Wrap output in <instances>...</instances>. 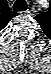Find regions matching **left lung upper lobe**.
Wrapping results in <instances>:
<instances>
[{
    "instance_id": "left-lung-upper-lobe-1",
    "label": "left lung upper lobe",
    "mask_w": 51,
    "mask_h": 74,
    "mask_svg": "<svg viewBox=\"0 0 51 74\" xmlns=\"http://www.w3.org/2000/svg\"><path fill=\"white\" fill-rule=\"evenodd\" d=\"M43 17H47V15L45 13L39 14L35 17V19L42 24L43 23Z\"/></svg>"
}]
</instances>
